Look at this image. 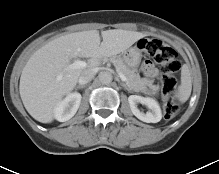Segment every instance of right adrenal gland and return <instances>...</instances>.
<instances>
[{
    "label": "right adrenal gland",
    "instance_id": "right-adrenal-gland-1",
    "mask_svg": "<svg viewBox=\"0 0 219 174\" xmlns=\"http://www.w3.org/2000/svg\"><path fill=\"white\" fill-rule=\"evenodd\" d=\"M83 88H85V86H83V85H77L75 89L78 90V89H83Z\"/></svg>",
    "mask_w": 219,
    "mask_h": 174
}]
</instances>
